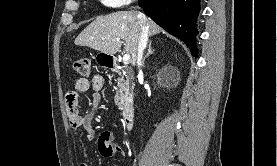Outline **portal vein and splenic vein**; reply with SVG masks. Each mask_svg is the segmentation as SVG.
<instances>
[{
  "mask_svg": "<svg viewBox=\"0 0 277 166\" xmlns=\"http://www.w3.org/2000/svg\"><path fill=\"white\" fill-rule=\"evenodd\" d=\"M117 41H120V39H117ZM123 62L124 64H129L130 63V55L129 54H125L123 57Z\"/></svg>",
  "mask_w": 277,
  "mask_h": 166,
  "instance_id": "1",
  "label": "portal vein and splenic vein"
}]
</instances>
